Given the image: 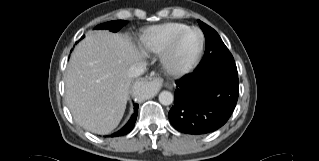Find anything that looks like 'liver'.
Wrapping results in <instances>:
<instances>
[{"label": "liver", "instance_id": "1", "mask_svg": "<svg viewBox=\"0 0 319 161\" xmlns=\"http://www.w3.org/2000/svg\"><path fill=\"white\" fill-rule=\"evenodd\" d=\"M143 59L144 52L120 34L86 35L73 51L65 76L66 102L74 120L93 133L114 130L126 109L128 71Z\"/></svg>", "mask_w": 319, "mask_h": 161}]
</instances>
